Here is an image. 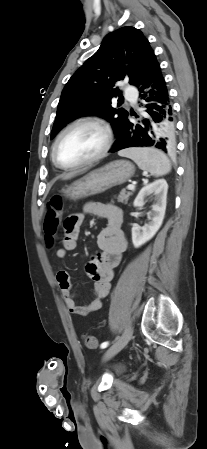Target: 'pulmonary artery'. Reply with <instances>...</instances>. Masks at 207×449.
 I'll return each mask as SVG.
<instances>
[{
	"instance_id": "1",
	"label": "pulmonary artery",
	"mask_w": 207,
	"mask_h": 449,
	"mask_svg": "<svg viewBox=\"0 0 207 449\" xmlns=\"http://www.w3.org/2000/svg\"><path fill=\"white\" fill-rule=\"evenodd\" d=\"M136 96H137V90L135 87L133 86H129L127 87V89L125 90V97L131 101V102H135L136 101Z\"/></svg>"
}]
</instances>
